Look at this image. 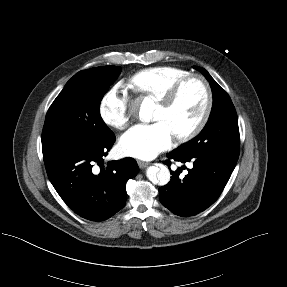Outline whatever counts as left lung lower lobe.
Wrapping results in <instances>:
<instances>
[{"mask_svg": "<svg viewBox=\"0 0 287 287\" xmlns=\"http://www.w3.org/2000/svg\"><path fill=\"white\" fill-rule=\"evenodd\" d=\"M167 158L182 163L192 162L185 177L181 168L171 171L170 182L159 188V199L172 213L189 217L211 206L222 193L237 161L209 152H180L173 150ZM170 167V161L164 162Z\"/></svg>", "mask_w": 287, "mask_h": 287, "instance_id": "1", "label": "left lung lower lobe"}]
</instances>
